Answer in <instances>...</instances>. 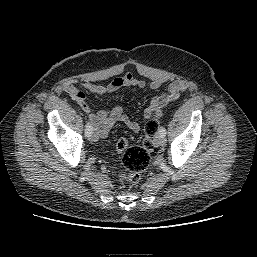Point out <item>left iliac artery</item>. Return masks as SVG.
Returning <instances> with one entry per match:
<instances>
[{
    "label": "left iliac artery",
    "instance_id": "44dca946",
    "mask_svg": "<svg viewBox=\"0 0 257 257\" xmlns=\"http://www.w3.org/2000/svg\"><path fill=\"white\" fill-rule=\"evenodd\" d=\"M159 133L162 134L163 136L166 135V129L164 127L159 128Z\"/></svg>",
    "mask_w": 257,
    "mask_h": 257
}]
</instances>
